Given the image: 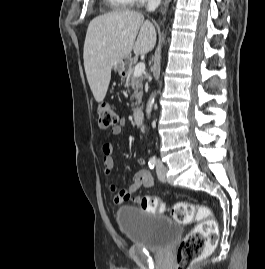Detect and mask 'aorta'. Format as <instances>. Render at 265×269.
Listing matches in <instances>:
<instances>
[{
    "label": "aorta",
    "mask_w": 265,
    "mask_h": 269,
    "mask_svg": "<svg viewBox=\"0 0 265 269\" xmlns=\"http://www.w3.org/2000/svg\"><path fill=\"white\" fill-rule=\"evenodd\" d=\"M154 101H155V96L151 95L148 102H147V106H146V115L148 118L150 117L152 107L154 105Z\"/></svg>",
    "instance_id": "1"
}]
</instances>
